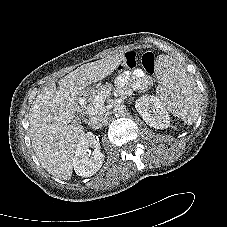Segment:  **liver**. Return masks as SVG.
I'll list each match as a JSON object with an SVG mask.
<instances>
[{
  "label": "liver",
  "mask_w": 227,
  "mask_h": 227,
  "mask_svg": "<svg viewBox=\"0 0 227 227\" xmlns=\"http://www.w3.org/2000/svg\"><path fill=\"white\" fill-rule=\"evenodd\" d=\"M124 59V53L84 64L55 83L43 87L29 112L32 147L41 166L54 177L69 180L76 147L85 131L71 124L79 109L78 96L90 84L110 75Z\"/></svg>",
  "instance_id": "obj_1"
}]
</instances>
